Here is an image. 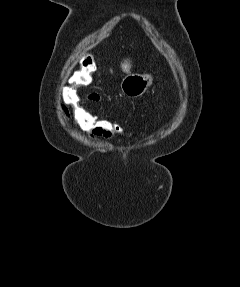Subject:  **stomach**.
<instances>
[{
    "label": "stomach",
    "instance_id": "1",
    "mask_svg": "<svg viewBox=\"0 0 240 287\" xmlns=\"http://www.w3.org/2000/svg\"><path fill=\"white\" fill-rule=\"evenodd\" d=\"M153 77L150 74H128L120 84L123 95L129 98L142 96L152 84Z\"/></svg>",
    "mask_w": 240,
    "mask_h": 287
}]
</instances>
